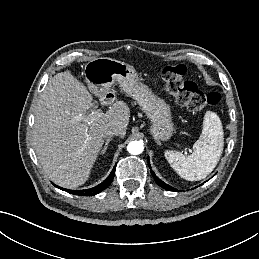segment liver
Here are the masks:
<instances>
[{
    "instance_id": "1",
    "label": "liver",
    "mask_w": 259,
    "mask_h": 259,
    "mask_svg": "<svg viewBox=\"0 0 259 259\" xmlns=\"http://www.w3.org/2000/svg\"><path fill=\"white\" fill-rule=\"evenodd\" d=\"M96 108L93 97L71 72L51 78L35 107L34 148L42 169L55 184L76 188L91 173L110 128H118L124 137L130 110L115 102L106 113L89 124L81 120Z\"/></svg>"
}]
</instances>
